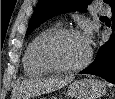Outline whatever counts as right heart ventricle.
Instances as JSON below:
<instances>
[{"label": "right heart ventricle", "instance_id": "right-heart-ventricle-1", "mask_svg": "<svg viewBox=\"0 0 115 99\" xmlns=\"http://www.w3.org/2000/svg\"><path fill=\"white\" fill-rule=\"evenodd\" d=\"M59 29L57 26H51L41 30L28 44L23 56V70L29 77H41L50 72L43 65L38 56V48L41 41L51 32Z\"/></svg>", "mask_w": 115, "mask_h": 99}]
</instances>
